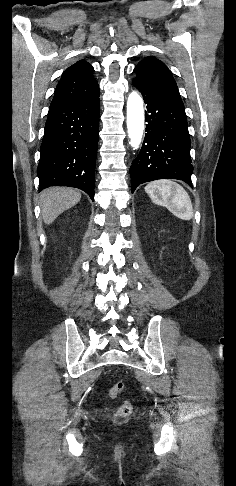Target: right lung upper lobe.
Segmentation results:
<instances>
[{
	"label": "right lung upper lobe",
	"mask_w": 236,
	"mask_h": 486,
	"mask_svg": "<svg viewBox=\"0 0 236 486\" xmlns=\"http://www.w3.org/2000/svg\"><path fill=\"white\" fill-rule=\"evenodd\" d=\"M93 71V67L84 60H80L67 68L55 89L50 108L89 99L97 95L99 87L93 77Z\"/></svg>",
	"instance_id": "right-lung-upper-lobe-1"
}]
</instances>
